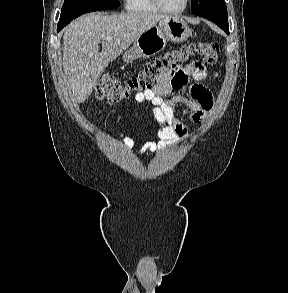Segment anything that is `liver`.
Returning a JSON list of instances; mask_svg holds the SVG:
<instances>
[{
    "instance_id": "liver-1",
    "label": "liver",
    "mask_w": 288,
    "mask_h": 293,
    "mask_svg": "<svg viewBox=\"0 0 288 293\" xmlns=\"http://www.w3.org/2000/svg\"><path fill=\"white\" fill-rule=\"evenodd\" d=\"M166 17L155 13H89L66 26L63 30V70L73 100L84 102L109 63ZM100 43L101 53L98 51Z\"/></svg>"
}]
</instances>
